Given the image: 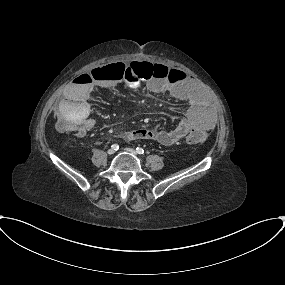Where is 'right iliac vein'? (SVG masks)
<instances>
[{"label": "right iliac vein", "instance_id": "1", "mask_svg": "<svg viewBox=\"0 0 285 285\" xmlns=\"http://www.w3.org/2000/svg\"><path fill=\"white\" fill-rule=\"evenodd\" d=\"M107 153H108L109 155H112V154H114V150H113V149H109V150L107 151Z\"/></svg>", "mask_w": 285, "mask_h": 285}]
</instances>
